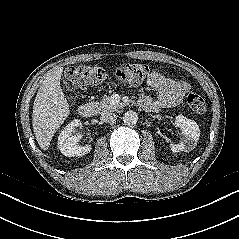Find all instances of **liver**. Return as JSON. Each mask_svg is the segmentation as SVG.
Returning a JSON list of instances; mask_svg holds the SVG:
<instances>
[{
  "mask_svg": "<svg viewBox=\"0 0 239 239\" xmlns=\"http://www.w3.org/2000/svg\"><path fill=\"white\" fill-rule=\"evenodd\" d=\"M63 68L54 67L46 74L35 97L32 126L41 149L47 150L50 142L70 114L69 104L60 86Z\"/></svg>",
  "mask_w": 239,
  "mask_h": 239,
  "instance_id": "obj_1",
  "label": "liver"
}]
</instances>
